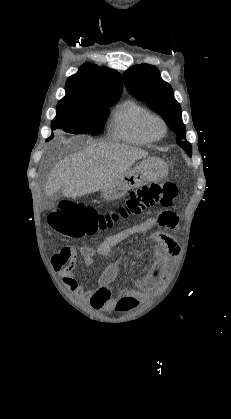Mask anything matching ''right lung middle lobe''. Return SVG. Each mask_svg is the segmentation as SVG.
Segmentation results:
<instances>
[{
	"label": "right lung middle lobe",
	"mask_w": 231,
	"mask_h": 419,
	"mask_svg": "<svg viewBox=\"0 0 231 419\" xmlns=\"http://www.w3.org/2000/svg\"><path fill=\"white\" fill-rule=\"evenodd\" d=\"M117 100L61 99L57 104V114L52 121V128L63 129L68 133L96 136L103 131L109 115L108 107L115 104Z\"/></svg>",
	"instance_id": "obj_1"
}]
</instances>
